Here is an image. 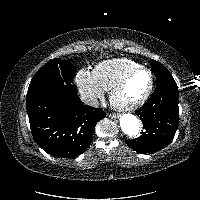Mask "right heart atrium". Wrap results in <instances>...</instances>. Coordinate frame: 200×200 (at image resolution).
Instances as JSON below:
<instances>
[{
  "instance_id": "d8ad5b80",
  "label": "right heart atrium",
  "mask_w": 200,
  "mask_h": 200,
  "mask_svg": "<svg viewBox=\"0 0 200 200\" xmlns=\"http://www.w3.org/2000/svg\"><path fill=\"white\" fill-rule=\"evenodd\" d=\"M75 83L82 99L91 106L104 98L106 89L97 81L94 71L82 68L75 76Z\"/></svg>"
}]
</instances>
